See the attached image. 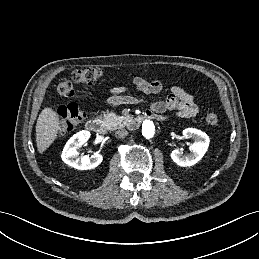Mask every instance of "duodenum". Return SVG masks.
<instances>
[{"mask_svg": "<svg viewBox=\"0 0 259 259\" xmlns=\"http://www.w3.org/2000/svg\"><path fill=\"white\" fill-rule=\"evenodd\" d=\"M149 117L151 116L148 114H140L134 117L130 125L131 129L138 128L142 124V122ZM86 127L89 131L100 135H104L107 131L104 121L96 117L90 118L86 123Z\"/></svg>", "mask_w": 259, "mask_h": 259, "instance_id": "obj_1", "label": "duodenum"}]
</instances>
